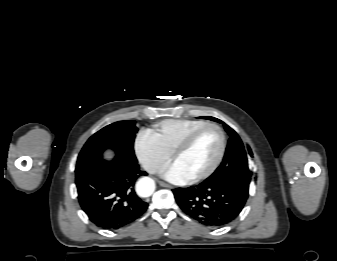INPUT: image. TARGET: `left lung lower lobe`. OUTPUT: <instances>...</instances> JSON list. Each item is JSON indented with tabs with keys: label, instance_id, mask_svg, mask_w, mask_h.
<instances>
[{
	"label": "left lung lower lobe",
	"instance_id": "obj_1",
	"mask_svg": "<svg viewBox=\"0 0 337 261\" xmlns=\"http://www.w3.org/2000/svg\"><path fill=\"white\" fill-rule=\"evenodd\" d=\"M179 207L190 218L210 227L232 222L243 209L247 197L233 187L217 182H202L173 190Z\"/></svg>",
	"mask_w": 337,
	"mask_h": 261
}]
</instances>
